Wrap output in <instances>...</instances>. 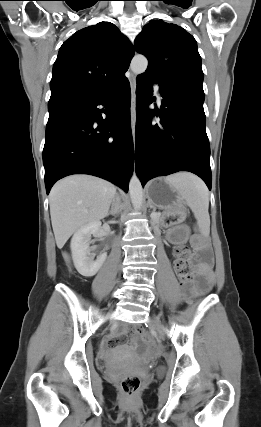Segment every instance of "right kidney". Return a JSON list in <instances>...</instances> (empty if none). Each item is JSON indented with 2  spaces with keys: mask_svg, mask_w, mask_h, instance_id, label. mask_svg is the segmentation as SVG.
Masks as SVG:
<instances>
[{
  "mask_svg": "<svg viewBox=\"0 0 261 427\" xmlns=\"http://www.w3.org/2000/svg\"><path fill=\"white\" fill-rule=\"evenodd\" d=\"M101 231V222H91L78 229L71 239V251L74 265L77 271L85 276H94L102 267L107 258V253L99 254L94 260L96 254L90 248L91 235H99Z\"/></svg>",
  "mask_w": 261,
  "mask_h": 427,
  "instance_id": "obj_1",
  "label": "right kidney"
}]
</instances>
